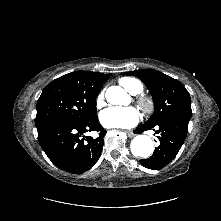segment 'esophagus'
<instances>
[{
  "label": "esophagus",
  "mask_w": 221,
  "mask_h": 221,
  "mask_svg": "<svg viewBox=\"0 0 221 221\" xmlns=\"http://www.w3.org/2000/svg\"><path fill=\"white\" fill-rule=\"evenodd\" d=\"M126 133L130 136V137H133L135 134L132 132V131H126Z\"/></svg>",
  "instance_id": "34e87169"
}]
</instances>
